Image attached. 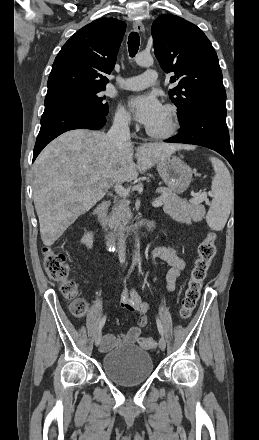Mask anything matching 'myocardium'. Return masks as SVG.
Masks as SVG:
<instances>
[{
	"mask_svg": "<svg viewBox=\"0 0 259 440\" xmlns=\"http://www.w3.org/2000/svg\"><path fill=\"white\" fill-rule=\"evenodd\" d=\"M164 110L167 114V127L162 131H154L150 128H146V133L155 139H167L172 137L178 130V111L174 105L167 104L164 106Z\"/></svg>",
	"mask_w": 259,
	"mask_h": 440,
	"instance_id": "f54148a6",
	"label": "myocardium"
}]
</instances>
